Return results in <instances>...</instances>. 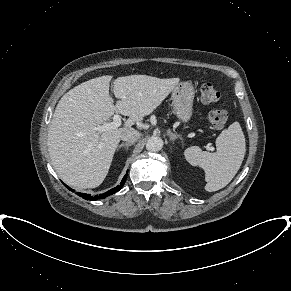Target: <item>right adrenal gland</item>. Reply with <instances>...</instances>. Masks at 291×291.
Returning <instances> with one entry per match:
<instances>
[{"label":"right adrenal gland","mask_w":291,"mask_h":291,"mask_svg":"<svg viewBox=\"0 0 291 291\" xmlns=\"http://www.w3.org/2000/svg\"><path fill=\"white\" fill-rule=\"evenodd\" d=\"M132 146V143H122L118 146V148H121V147H126V149L128 150V148Z\"/></svg>","instance_id":"2a0ac1e0"}]
</instances>
